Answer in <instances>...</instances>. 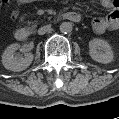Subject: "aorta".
<instances>
[{
    "label": "aorta",
    "instance_id": "obj_1",
    "mask_svg": "<svg viewBox=\"0 0 119 119\" xmlns=\"http://www.w3.org/2000/svg\"><path fill=\"white\" fill-rule=\"evenodd\" d=\"M72 23L70 22H62L60 24V31L62 33H70L72 31Z\"/></svg>",
    "mask_w": 119,
    "mask_h": 119
}]
</instances>
